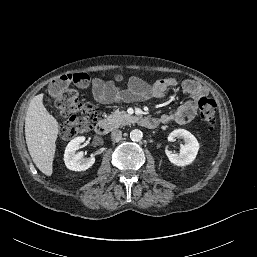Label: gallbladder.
Instances as JSON below:
<instances>
[{"mask_svg":"<svg viewBox=\"0 0 257 257\" xmlns=\"http://www.w3.org/2000/svg\"><path fill=\"white\" fill-rule=\"evenodd\" d=\"M47 101H48L49 104L51 103V99L50 98H48Z\"/></svg>","mask_w":257,"mask_h":257,"instance_id":"obj_1","label":"gallbladder"}]
</instances>
